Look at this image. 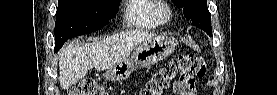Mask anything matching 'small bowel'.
<instances>
[{"label":"small bowel","mask_w":277,"mask_h":95,"mask_svg":"<svg viewBox=\"0 0 277 95\" xmlns=\"http://www.w3.org/2000/svg\"><path fill=\"white\" fill-rule=\"evenodd\" d=\"M173 93L181 95H193L197 91L196 80L192 77H182L173 85Z\"/></svg>","instance_id":"small-bowel-1"}]
</instances>
